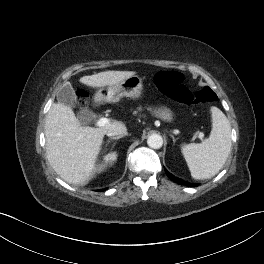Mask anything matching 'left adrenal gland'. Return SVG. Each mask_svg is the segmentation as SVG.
I'll use <instances>...</instances> for the list:
<instances>
[{
  "label": "left adrenal gland",
  "mask_w": 264,
  "mask_h": 264,
  "mask_svg": "<svg viewBox=\"0 0 264 264\" xmlns=\"http://www.w3.org/2000/svg\"><path fill=\"white\" fill-rule=\"evenodd\" d=\"M170 136L172 137L173 142L175 143L176 140H175L174 136L173 135H170Z\"/></svg>",
  "instance_id": "a2214340"
}]
</instances>
